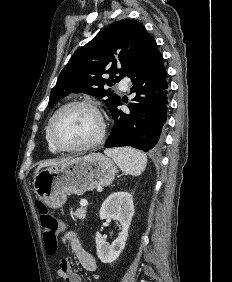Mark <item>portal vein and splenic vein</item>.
<instances>
[{
    "label": "portal vein and splenic vein",
    "instance_id": "1",
    "mask_svg": "<svg viewBox=\"0 0 232 282\" xmlns=\"http://www.w3.org/2000/svg\"><path fill=\"white\" fill-rule=\"evenodd\" d=\"M80 205L82 207H86L88 205V201L86 199H83V200L80 201Z\"/></svg>",
    "mask_w": 232,
    "mask_h": 282
}]
</instances>
